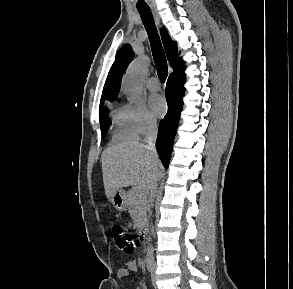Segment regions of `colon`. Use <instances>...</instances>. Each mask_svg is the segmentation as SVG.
Listing matches in <instances>:
<instances>
[{
  "instance_id": "5ec220e1",
  "label": "colon",
  "mask_w": 293,
  "mask_h": 289,
  "mask_svg": "<svg viewBox=\"0 0 293 289\" xmlns=\"http://www.w3.org/2000/svg\"><path fill=\"white\" fill-rule=\"evenodd\" d=\"M111 231L118 248L126 254H132L135 250V242L132 235L118 224H114Z\"/></svg>"
}]
</instances>
